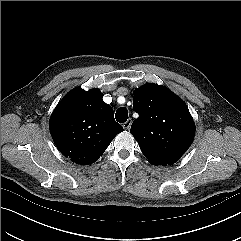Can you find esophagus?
I'll use <instances>...</instances> for the list:
<instances>
[{"instance_id":"34e87169","label":"esophagus","mask_w":241,"mask_h":241,"mask_svg":"<svg viewBox=\"0 0 241 241\" xmlns=\"http://www.w3.org/2000/svg\"><path fill=\"white\" fill-rule=\"evenodd\" d=\"M131 124H132V120L129 118L126 122L123 123L122 126L125 130H128L130 128Z\"/></svg>"}]
</instances>
